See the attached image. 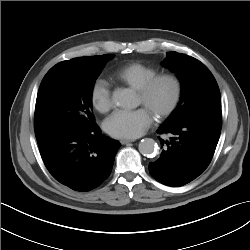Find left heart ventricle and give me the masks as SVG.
<instances>
[{
    "label": "left heart ventricle",
    "instance_id": "left-heart-ventricle-1",
    "mask_svg": "<svg viewBox=\"0 0 250 250\" xmlns=\"http://www.w3.org/2000/svg\"><path fill=\"white\" fill-rule=\"evenodd\" d=\"M172 94V85L168 82H161L154 88L146 100H143L138 94V103L144 105L153 115H156L169 103Z\"/></svg>",
    "mask_w": 250,
    "mask_h": 250
}]
</instances>
